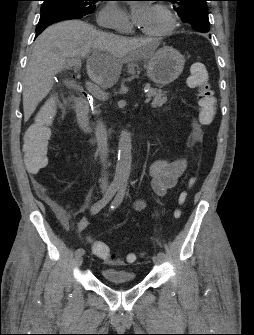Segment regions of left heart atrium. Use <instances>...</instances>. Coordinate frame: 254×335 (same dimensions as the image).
<instances>
[{
    "mask_svg": "<svg viewBox=\"0 0 254 335\" xmlns=\"http://www.w3.org/2000/svg\"><path fill=\"white\" fill-rule=\"evenodd\" d=\"M152 9V5L147 2H138L132 4L130 15L133 22L142 28L147 22Z\"/></svg>",
    "mask_w": 254,
    "mask_h": 335,
    "instance_id": "39dd6f15",
    "label": "left heart atrium"
}]
</instances>
